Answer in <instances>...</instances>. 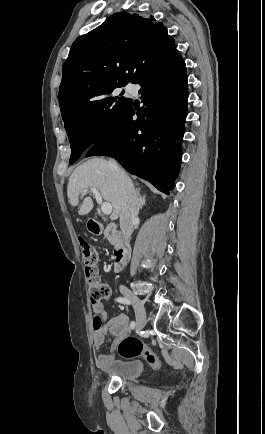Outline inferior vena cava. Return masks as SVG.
Segmentation results:
<instances>
[{
	"mask_svg": "<svg viewBox=\"0 0 265 434\" xmlns=\"http://www.w3.org/2000/svg\"><path fill=\"white\" fill-rule=\"evenodd\" d=\"M111 170H114L116 180L119 186V192L122 196L121 212H120V228L125 242H129L132 234L134 222L137 220L139 214V198L136 190L125 172L121 170L120 166L112 160L109 162Z\"/></svg>",
	"mask_w": 265,
	"mask_h": 434,
	"instance_id": "602c4592",
	"label": "inferior vena cava"
}]
</instances>
